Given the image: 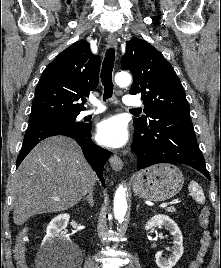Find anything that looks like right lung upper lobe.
<instances>
[{"label":"right lung upper lobe","mask_w":221,"mask_h":268,"mask_svg":"<svg viewBox=\"0 0 221 268\" xmlns=\"http://www.w3.org/2000/svg\"><path fill=\"white\" fill-rule=\"evenodd\" d=\"M100 58L81 40L61 52L44 70L35 89L30 119L42 121L84 110L80 98L98 85Z\"/></svg>","instance_id":"cb5924a9"}]
</instances>
